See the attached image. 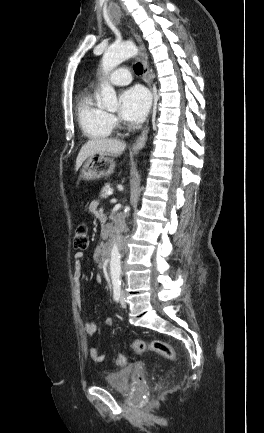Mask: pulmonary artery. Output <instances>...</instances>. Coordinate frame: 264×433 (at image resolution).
Returning <instances> with one entry per match:
<instances>
[{
	"instance_id": "pulmonary-artery-1",
	"label": "pulmonary artery",
	"mask_w": 264,
	"mask_h": 433,
	"mask_svg": "<svg viewBox=\"0 0 264 433\" xmlns=\"http://www.w3.org/2000/svg\"><path fill=\"white\" fill-rule=\"evenodd\" d=\"M131 80L132 78L130 76V73L126 68H120L116 70L110 79L111 83L116 86L127 85L131 82Z\"/></svg>"
}]
</instances>
